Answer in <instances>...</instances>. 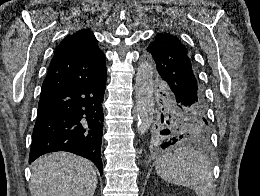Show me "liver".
<instances>
[{"mask_svg": "<svg viewBox=\"0 0 260 196\" xmlns=\"http://www.w3.org/2000/svg\"><path fill=\"white\" fill-rule=\"evenodd\" d=\"M97 176L89 160L54 152L34 162L31 196H94Z\"/></svg>", "mask_w": 260, "mask_h": 196, "instance_id": "obj_1", "label": "liver"}]
</instances>
